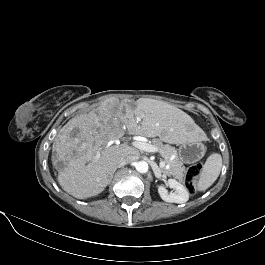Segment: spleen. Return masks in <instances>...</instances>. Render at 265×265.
Segmentation results:
<instances>
[{
  "instance_id": "1",
  "label": "spleen",
  "mask_w": 265,
  "mask_h": 265,
  "mask_svg": "<svg viewBox=\"0 0 265 265\" xmlns=\"http://www.w3.org/2000/svg\"><path fill=\"white\" fill-rule=\"evenodd\" d=\"M222 168V157L218 153L211 154L200 173L197 188L199 191L207 190L218 178Z\"/></svg>"
}]
</instances>
